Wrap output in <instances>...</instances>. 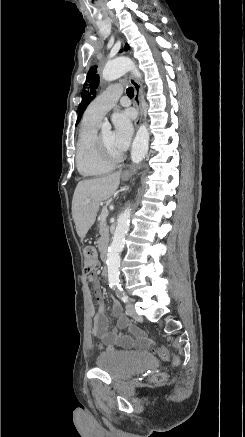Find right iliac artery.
Segmentation results:
<instances>
[{
	"label": "right iliac artery",
	"instance_id": "1",
	"mask_svg": "<svg viewBox=\"0 0 245 437\" xmlns=\"http://www.w3.org/2000/svg\"><path fill=\"white\" fill-rule=\"evenodd\" d=\"M115 285H116V284H110V287H111V288H114V287H115Z\"/></svg>",
	"mask_w": 245,
	"mask_h": 437
}]
</instances>
